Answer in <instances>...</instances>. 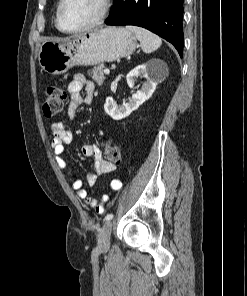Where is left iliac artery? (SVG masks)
Masks as SVG:
<instances>
[{
	"label": "left iliac artery",
	"mask_w": 247,
	"mask_h": 296,
	"mask_svg": "<svg viewBox=\"0 0 247 296\" xmlns=\"http://www.w3.org/2000/svg\"><path fill=\"white\" fill-rule=\"evenodd\" d=\"M113 218V214H107L106 216H105V220L106 221H109V220H111Z\"/></svg>",
	"instance_id": "44dca946"
}]
</instances>
